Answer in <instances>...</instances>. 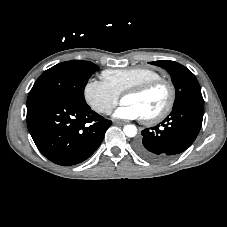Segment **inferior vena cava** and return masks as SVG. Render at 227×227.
Listing matches in <instances>:
<instances>
[{
    "instance_id": "602c4592",
    "label": "inferior vena cava",
    "mask_w": 227,
    "mask_h": 227,
    "mask_svg": "<svg viewBox=\"0 0 227 227\" xmlns=\"http://www.w3.org/2000/svg\"><path fill=\"white\" fill-rule=\"evenodd\" d=\"M105 113L111 114V113H112V109H110V108H109V109H106V110H105Z\"/></svg>"
}]
</instances>
